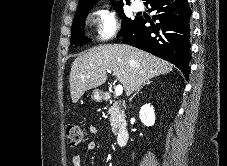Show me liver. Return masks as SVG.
I'll list each match as a JSON object with an SVG mask.
<instances>
[{
	"instance_id": "6515ba94",
	"label": "liver",
	"mask_w": 227,
	"mask_h": 166,
	"mask_svg": "<svg viewBox=\"0 0 227 166\" xmlns=\"http://www.w3.org/2000/svg\"><path fill=\"white\" fill-rule=\"evenodd\" d=\"M108 70L114 73L129 96L149 79L170 73L173 65L126 44L95 46L72 63L69 77L72 102L77 103L86 91L103 85Z\"/></svg>"
}]
</instances>
